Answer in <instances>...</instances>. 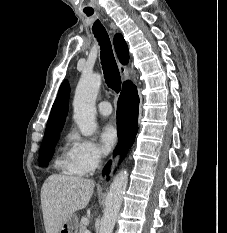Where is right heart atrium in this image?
Segmentation results:
<instances>
[{
	"mask_svg": "<svg viewBox=\"0 0 227 233\" xmlns=\"http://www.w3.org/2000/svg\"><path fill=\"white\" fill-rule=\"evenodd\" d=\"M70 138L72 140L70 157L74 169L81 175H88L96 171L103 159V153L98 144L75 132L70 135Z\"/></svg>",
	"mask_w": 227,
	"mask_h": 233,
	"instance_id": "1",
	"label": "right heart atrium"
}]
</instances>
